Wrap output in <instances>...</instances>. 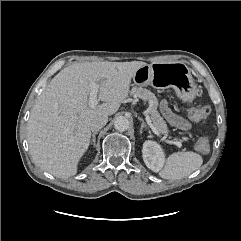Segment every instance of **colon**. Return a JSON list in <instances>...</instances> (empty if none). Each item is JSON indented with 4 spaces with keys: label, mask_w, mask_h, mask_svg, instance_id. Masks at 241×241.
<instances>
[{
    "label": "colon",
    "mask_w": 241,
    "mask_h": 241,
    "mask_svg": "<svg viewBox=\"0 0 241 241\" xmlns=\"http://www.w3.org/2000/svg\"><path fill=\"white\" fill-rule=\"evenodd\" d=\"M188 115L192 120L200 121L205 119L210 114V108L208 106H189ZM196 149L201 153H207L210 149L209 141L206 138H201L196 144Z\"/></svg>",
    "instance_id": "1"
}]
</instances>
